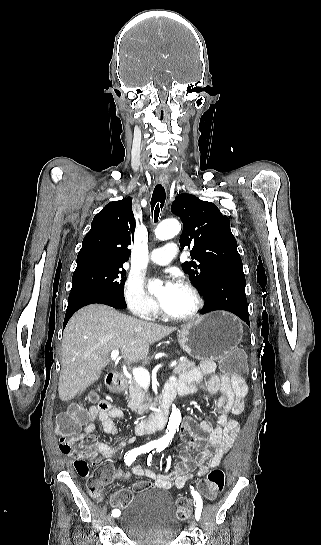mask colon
I'll list each match as a JSON object with an SVG mask.
<instances>
[{"label":"colon","instance_id":"obj_1","mask_svg":"<svg viewBox=\"0 0 321 545\" xmlns=\"http://www.w3.org/2000/svg\"><path fill=\"white\" fill-rule=\"evenodd\" d=\"M222 371L234 378H244L246 365L241 353L234 352L228 354L220 361ZM95 396H92L94 398ZM88 412L80 404H72L65 412L57 417L56 433L60 438L59 448L65 455L79 457L90 453L94 449L96 437L94 435H83L80 433L82 425L87 421ZM75 468L80 476L86 479V488L91 497L100 499L104 479L108 473L104 471L95 472L89 475L85 470L84 462L75 464ZM225 485V475L221 469L211 470L205 478L197 484V493L201 494L207 500H214L223 490ZM151 485L146 482L135 484L133 491L124 489L116 493L111 499V505L117 510L125 508L131 501L133 492H138ZM199 494V495H200ZM193 500L190 497L179 498L176 502V515L178 519L185 520L191 514Z\"/></svg>","mask_w":321,"mask_h":545}]
</instances>
